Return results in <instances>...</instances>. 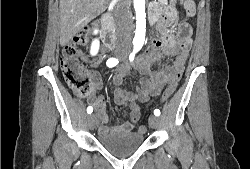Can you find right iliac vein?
I'll list each match as a JSON object with an SVG mask.
<instances>
[{"label":"right iliac vein","mask_w":250,"mask_h":169,"mask_svg":"<svg viewBox=\"0 0 250 169\" xmlns=\"http://www.w3.org/2000/svg\"><path fill=\"white\" fill-rule=\"evenodd\" d=\"M87 122L90 129H94L96 126V117L94 114L87 116Z\"/></svg>","instance_id":"63e3f726"}]
</instances>
